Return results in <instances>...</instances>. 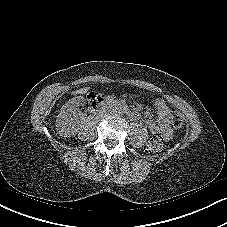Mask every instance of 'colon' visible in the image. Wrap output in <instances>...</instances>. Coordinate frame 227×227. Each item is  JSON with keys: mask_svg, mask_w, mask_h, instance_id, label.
Wrapping results in <instances>:
<instances>
[{"mask_svg": "<svg viewBox=\"0 0 227 227\" xmlns=\"http://www.w3.org/2000/svg\"><path fill=\"white\" fill-rule=\"evenodd\" d=\"M171 125L175 129H180L183 126V117L177 112L173 111L171 114ZM164 140L162 136H153L146 145V150L150 153H157L162 150Z\"/></svg>", "mask_w": 227, "mask_h": 227, "instance_id": "5ec220e1", "label": "colon"}]
</instances>
